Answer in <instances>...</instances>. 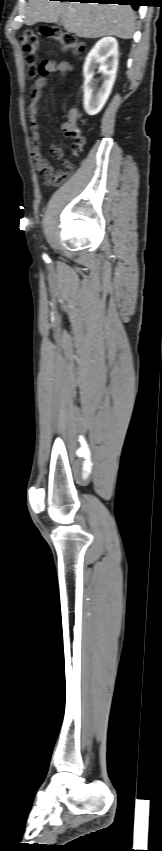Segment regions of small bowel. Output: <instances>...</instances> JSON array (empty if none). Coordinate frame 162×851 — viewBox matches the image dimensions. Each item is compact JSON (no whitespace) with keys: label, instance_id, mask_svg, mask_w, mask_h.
Returning a JSON list of instances; mask_svg holds the SVG:
<instances>
[{"label":"small bowel","instance_id":"1","mask_svg":"<svg viewBox=\"0 0 162 851\" xmlns=\"http://www.w3.org/2000/svg\"><path fill=\"white\" fill-rule=\"evenodd\" d=\"M72 72V66L67 62H54L47 61L41 64L40 76L35 80L33 90L30 96L29 103V116L32 128V137H31V146H32V157L35 161V168L38 172L42 173L44 180L51 184L52 177L55 174L54 167L50 164V162L45 157L42 150L41 137L39 134V126H38V112H39V103L42 97V92L47 86V76L52 73H60L62 75H67ZM73 150V145L71 146ZM51 151L55 157L58 159L64 158V152L62 148L56 146L54 144L51 145Z\"/></svg>","mask_w":162,"mask_h":851}]
</instances>
